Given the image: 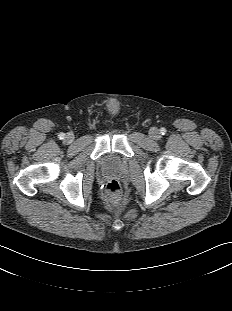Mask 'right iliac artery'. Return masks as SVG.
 <instances>
[{"mask_svg": "<svg viewBox=\"0 0 232 311\" xmlns=\"http://www.w3.org/2000/svg\"><path fill=\"white\" fill-rule=\"evenodd\" d=\"M65 138V134L64 133H60L59 134V139H64Z\"/></svg>", "mask_w": 232, "mask_h": 311, "instance_id": "82829eb1", "label": "right iliac artery"}]
</instances>
